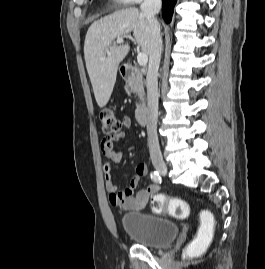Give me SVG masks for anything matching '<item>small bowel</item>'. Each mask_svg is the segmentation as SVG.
Returning <instances> with one entry per match:
<instances>
[{
  "label": "small bowel",
  "instance_id": "c3829d8e",
  "mask_svg": "<svg viewBox=\"0 0 265 269\" xmlns=\"http://www.w3.org/2000/svg\"><path fill=\"white\" fill-rule=\"evenodd\" d=\"M122 124L124 128L131 127V118L128 116L123 117ZM124 136L125 132L122 131L117 136L104 138L101 143V150L107 159V162L103 165L105 187L109 193L110 205L127 211H142L146 207L150 197L159 192L160 186L158 183H152L146 188L136 191L140 178L146 176L148 172L147 165L144 162H140L136 165L135 175L129 185L125 189L118 191L113 179L111 164L120 162L123 157V151H116L114 146Z\"/></svg>",
  "mask_w": 265,
  "mask_h": 269
}]
</instances>
